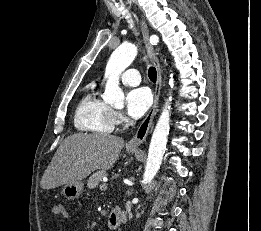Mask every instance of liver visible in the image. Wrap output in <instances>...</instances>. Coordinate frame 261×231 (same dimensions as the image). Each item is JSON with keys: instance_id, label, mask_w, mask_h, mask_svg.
Returning <instances> with one entry per match:
<instances>
[{"instance_id": "obj_1", "label": "liver", "mask_w": 261, "mask_h": 231, "mask_svg": "<svg viewBox=\"0 0 261 231\" xmlns=\"http://www.w3.org/2000/svg\"><path fill=\"white\" fill-rule=\"evenodd\" d=\"M124 140L110 134L77 133L59 146L42 180L43 189H54L86 178L97 169H110L117 161Z\"/></svg>"}]
</instances>
